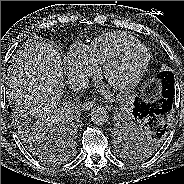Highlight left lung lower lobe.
Wrapping results in <instances>:
<instances>
[{"instance_id": "1", "label": "left lung lower lobe", "mask_w": 184, "mask_h": 184, "mask_svg": "<svg viewBox=\"0 0 184 184\" xmlns=\"http://www.w3.org/2000/svg\"><path fill=\"white\" fill-rule=\"evenodd\" d=\"M161 81L162 91L160 99L155 102H145L136 97L131 114L147 123L159 136L166 134L170 129V112L174 99V74L163 71L157 75Z\"/></svg>"}]
</instances>
